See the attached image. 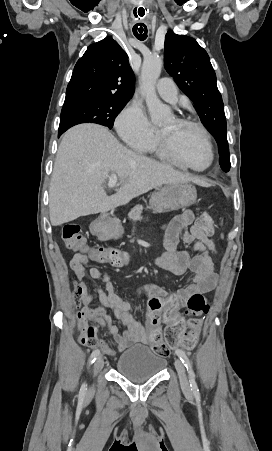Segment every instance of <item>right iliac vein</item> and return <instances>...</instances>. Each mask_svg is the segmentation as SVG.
Listing matches in <instances>:
<instances>
[{"label": "right iliac vein", "mask_w": 272, "mask_h": 451, "mask_svg": "<svg viewBox=\"0 0 272 451\" xmlns=\"http://www.w3.org/2000/svg\"><path fill=\"white\" fill-rule=\"evenodd\" d=\"M103 365H104V361H103L102 357H98L94 364V375L98 374V372L102 369Z\"/></svg>", "instance_id": "obj_1"}]
</instances>
